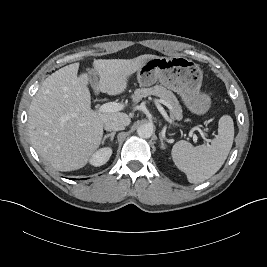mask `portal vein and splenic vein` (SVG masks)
I'll use <instances>...</instances> for the list:
<instances>
[{"label": "portal vein and splenic vein", "instance_id": "obj_1", "mask_svg": "<svg viewBox=\"0 0 267 267\" xmlns=\"http://www.w3.org/2000/svg\"><path fill=\"white\" fill-rule=\"evenodd\" d=\"M155 103L157 104V107L159 109V111L161 112V114L165 117V119L167 121H169L170 123L172 122L171 119H169L167 113L165 112V110L163 109V107H161V105L159 104V101L156 100ZM124 107V105L120 104V103H116V102H108L105 103L103 105L100 106L98 112L101 113H112V112H118L120 110H122ZM199 132L201 133V135H205V133L199 129ZM194 141H197V138L194 136Z\"/></svg>", "mask_w": 267, "mask_h": 267}]
</instances>
